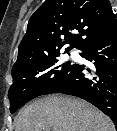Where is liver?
<instances>
[{"mask_svg":"<svg viewBox=\"0 0 117 131\" xmlns=\"http://www.w3.org/2000/svg\"><path fill=\"white\" fill-rule=\"evenodd\" d=\"M114 131L110 119L84 100L50 95L19 114L16 131Z\"/></svg>","mask_w":117,"mask_h":131,"instance_id":"liver-1","label":"liver"}]
</instances>
